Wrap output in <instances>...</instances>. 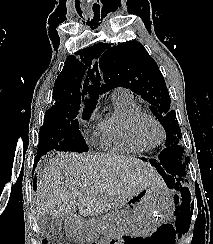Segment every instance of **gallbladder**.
Instances as JSON below:
<instances>
[{"label":"gallbladder","instance_id":"1","mask_svg":"<svg viewBox=\"0 0 213 244\" xmlns=\"http://www.w3.org/2000/svg\"><path fill=\"white\" fill-rule=\"evenodd\" d=\"M62 222V218H55L49 215H44L39 219L38 225L42 234L53 237L60 232L62 228Z\"/></svg>","mask_w":213,"mask_h":244}]
</instances>
